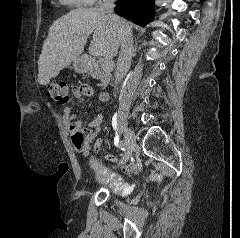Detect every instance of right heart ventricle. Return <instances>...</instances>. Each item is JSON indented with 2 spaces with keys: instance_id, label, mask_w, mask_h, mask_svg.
Segmentation results:
<instances>
[{
  "instance_id": "right-heart-ventricle-1",
  "label": "right heart ventricle",
  "mask_w": 240,
  "mask_h": 238,
  "mask_svg": "<svg viewBox=\"0 0 240 238\" xmlns=\"http://www.w3.org/2000/svg\"><path fill=\"white\" fill-rule=\"evenodd\" d=\"M63 5L72 7V8H80L89 5L88 0H59Z\"/></svg>"
}]
</instances>
